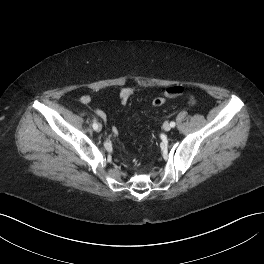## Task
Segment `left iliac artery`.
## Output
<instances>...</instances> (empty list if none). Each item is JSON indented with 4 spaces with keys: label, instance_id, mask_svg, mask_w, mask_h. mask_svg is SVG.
Here are the masks:
<instances>
[{
    "label": "left iliac artery",
    "instance_id": "obj_1",
    "mask_svg": "<svg viewBox=\"0 0 264 264\" xmlns=\"http://www.w3.org/2000/svg\"><path fill=\"white\" fill-rule=\"evenodd\" d=\"M170 125H171V127H175V122L174 121H172L171 123H170Z\"/></svg>",
    "mask_w": 264,
    "mask_h": 264
}]
</instances>
